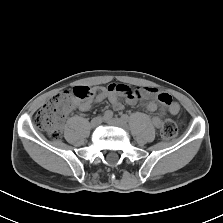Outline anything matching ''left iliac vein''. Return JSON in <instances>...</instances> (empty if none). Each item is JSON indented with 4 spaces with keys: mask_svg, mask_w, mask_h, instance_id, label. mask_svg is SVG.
<instances>
[{
    "mask_svg": "<svg viewBox=\"0 0 223 223\" xmlns=\"http://www.w3.org/2000/svg\"><path fill=\"white\" fill-rule=\"evenodd\" d=\"M108 124L121 127L123 129H128L127 122L124 119L120 118H111L105 120Z\"/></svg>",
    "mask_w": 223,
    "mask_h": 223,
    "instance_id": "left-iliac-vein-1",
    "label": "left iliac vein"
}]
</instances>
